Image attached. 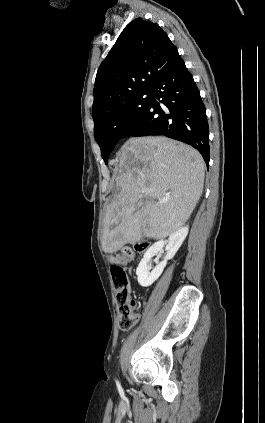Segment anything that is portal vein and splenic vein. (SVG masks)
<instances>
[{
	"label": "portal vein and splenic vein",
	"instance_id": "portal-vein-and-splenic-vein-1",
	"mask_svg": "<svg viewBox=\"0 0 265 423\" xmlns=\"http://www.w3.org/2000/svg\"><path fill=\"white\" fill-rule=\"evenodd\" d=\"M168 201V198H163V199H161V200H158V204H164V203H166Z\"/></svg>",
	"mask_w": 265,
	"mask_h": 423
}]
</instances>
